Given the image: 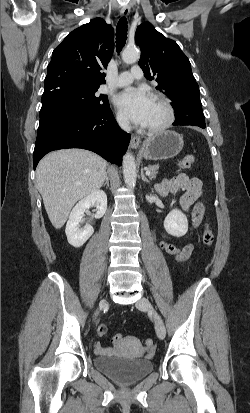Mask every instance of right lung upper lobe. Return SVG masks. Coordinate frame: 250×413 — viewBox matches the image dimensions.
Wrapping results in <instances>:
<instances>
[{
  "mask_svg": "<svg viewBox=\"0 0 250 413\" xmlns=\"http://www.w3.org/2000/svg\"><path fill=\"white\" fill-rule=\"evenodd\" d=\"M114 49V31L101 18L72 31L57 46L48 65L44 94L68 85L97 87Z\"/></svg>",
  "mask_w": 250,
  "mask_h": 413,
  "instance_id": "obj_1",
  "label": "right lung upper lobe"
}]
</instances>
